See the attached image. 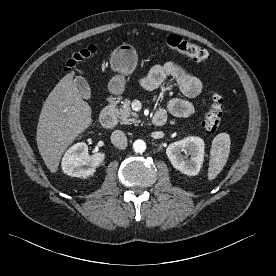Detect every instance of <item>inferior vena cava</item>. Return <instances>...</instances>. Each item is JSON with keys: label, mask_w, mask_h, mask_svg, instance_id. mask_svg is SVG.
I'll return each instance as SVG.
<instances>
[{"label": "inferior vena cava", "mask_w": 276, "mask_h": 276, "mask_svg": "<svg viewBox=\"0 0 276 276\" xmlns=\"http://www.w3.org/2000/svg\"><path fill=\"white\" fill-rule=\"evenodd\" d=\"M111 142L115 147L124 148L127 145V137L121 130H115L111 134Z\"/></svg>", "instance_id": "obj_1"}]
</instances>
